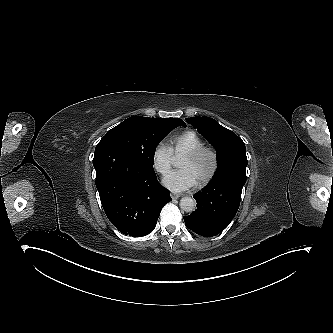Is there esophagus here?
Instances as JSON below:
<instances>
[{
	"label": "esophagus",
	"instance_id": "1",
	"mask_svg": "<svg viewBox=\"0 0 333 333\" xmlns=\"http://www.w3.org/2000/svg\"><path fill=\"white\" fill-rule=\"evenodd\" d=\"M179 197H180L179 194H175V193H172V194H171V198H172V199H178Z\"/></svg>",
	"mask_w": 333,
	"mask_h": 333
}]
</instances>
